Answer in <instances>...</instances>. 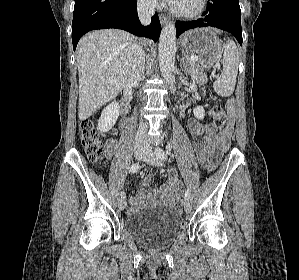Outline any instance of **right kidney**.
<instances>
[{
    "label": "right kidney",
    "mask_w": 299,
    "mask_h": 280,
    "mask_svg": "<svg viewBox=\"0 0 299 280\" xmlns=\"http://www.w3.org/2000/svg\"><path fill=\"white\" fill-rule=\"evenodd\" d=\"M119 113V104L116 101H113L102 111L101 117L98 121V129L101 132H108L115 125Z\"/></svg>",
    "instance_id": "obj_1"
}]
</instances>
